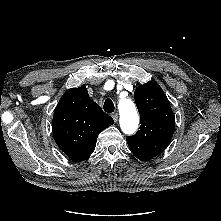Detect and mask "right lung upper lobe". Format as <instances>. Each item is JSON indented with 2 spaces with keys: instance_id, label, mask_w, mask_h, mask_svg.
<instances>
[{
  "instance_id": "obj_1",
  "label": "right lung upper lobe",
  "mask_w": 221,
  "mask_h": 221,
  "mask_svg": "<svg viewBox=\"0 0 221 221\" xmlns=\"http://www.w3.org/2000/svg\"><path fill=\"white\" fill-rule=\"evenodd\" d=\"M114 123L92 101L85 87L69 89L61 97L52 129L59 148L74 162L87 159L95 149L98 134Z\"/></svg>"
}]
</instances>
